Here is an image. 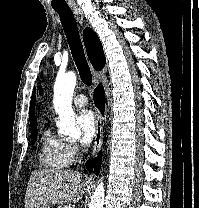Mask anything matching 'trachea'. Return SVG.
Returning a JSON list of instances; mask_svg holds the SVG:
<instances>
[{
  "label": "trachea",
  "instance_id": "1",
  "mask_svg": "<svg viewBox=\"0 0 199 208\" xmlns=\"http://www.w3.org/2000/svg\"><path fill=\"white\" fill-rule=\"evenodd\" d=\"M55 11L59 14L62 26L65 31V35L79 71V75L81 77L82 82L91 86L92 84V74L90 71V67L87 63L83 45L81 42V38L79 35L78 27L76 20L74 18L73 12L70 8L68 9H55Z\"/></svg>",
  "mask_w": 199,
  "mask_h": 208
}]
</instances>
